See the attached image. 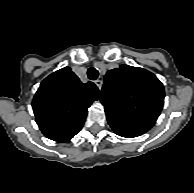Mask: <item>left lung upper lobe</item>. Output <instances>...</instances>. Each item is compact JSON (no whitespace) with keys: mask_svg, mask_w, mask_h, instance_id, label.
Wrapping results in <instances>:
<instances>
[{"mask_svg":"<svg viewBox=\"0 0 194 193\" xmlns=\"http://www.w3.org/2000/svg\"><path fill=\"white\" fill-rule=\"evenodd\" d=\"M164 97L162 83L143 68L121 65L104 77L101 102L105 112L149 129L160 115Z\"/></svg>","mask_w":194,"mask_h":193,"instance_id":"1","label":"left lung upper lobe"}]
</instances>
